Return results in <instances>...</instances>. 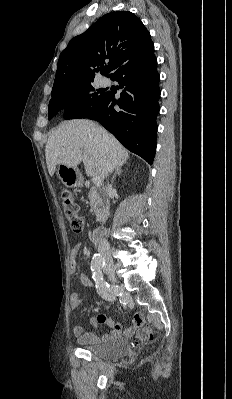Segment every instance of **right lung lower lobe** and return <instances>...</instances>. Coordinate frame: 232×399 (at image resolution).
<instances>
[{
    "label": "right lung lower lobe",
    "mask_w": 232,
    "mask_h": 399,
    "mask_svg": "<svg viewBox=\"0 0 232 399\" xmlns=\"http://www.w3.org/2000/svg\"><path fill=\"white\" fill-rule=\"evenodd\" d=\"M110 79L119 83L120 98L116 100L114 94L106 92L96 109L81 112L71 119L88 118L100 122L127 149L152 164L160 96V77L154 52L121 67ZM115 105L122 110H115Z\"/></svg>",
    "instance_id": "1"
}]
</instances>
